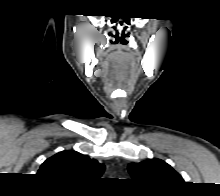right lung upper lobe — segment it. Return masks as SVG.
Here are the masks:
<instances>
[{
    "label": "right lung upper lobe",
    "mask_w": 220,
    "mask_h": 196,
    "mask_svg": "<svg viewBox=\"0 0 220 196\" xmlns=\"http://www.w3.org/2000/svg\"><path fill=\"white\" fill-rule=\"evenodd\" d=\"M104 169L103 164L86 155L65 150L44 161L37 174L54 182L91 185L100 178Z\"/></svg>",
    "instance_id": "obj_1"
}]
</instances>
